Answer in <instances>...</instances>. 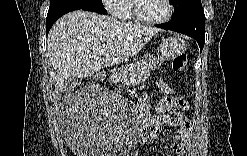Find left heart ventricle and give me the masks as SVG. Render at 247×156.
Returning a JSON list of instances; mask_svg holds the SVG:
<instances>
[{
    "mask_svg": "<svg viewBox=\"0 0 247 156\" xmlns=\"http://www.w3.org/2000/svg\"><path fill=\"white\" fill-rule=\"evenodd\" d=\"M138 11L144 17L160 18L166 14L167 8L163 0L139 1Z\"/></svg>",
    "mask_w": 247,
    "mask_h": 156,
    "instance_id": "1",
    "label": "left heart ventricle"
}]
</instances>
